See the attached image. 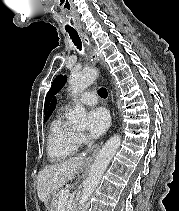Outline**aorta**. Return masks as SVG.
<instances>
[{
    "label": "aorta",
    "mask_w": 179,
    "mask_h": 211,
    "mask_svg": "<svg viewBox=\"0 0 179 211\" xmlns=\"http://www.w3.org/2000/svg\"><path fill=\"white\" fill-rule=\"evenodd\" d=\"M98 71L90 68L81 72H72L69 77V86L74 97L90 86L97 78ZM70 126L77 130H82L86 127V112L85 108L76 104L69 113ZM121 144L120 135L112 136L100 150L93 165L91 166L88 178L86 179L81 197L79 200L78 211H83V207L93 191L98 186L102 175L107 169L112 157L117 152Z\"/></svg>",
    "instance_id": "762f6f07"
}]
</instances>
